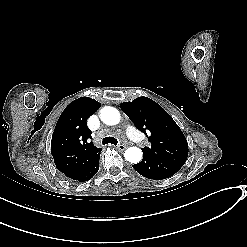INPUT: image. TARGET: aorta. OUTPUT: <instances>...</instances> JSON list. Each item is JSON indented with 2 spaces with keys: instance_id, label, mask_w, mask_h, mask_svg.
<instances>
[{
  "instance_id": "aorta-1",
  "label": "aorta",
  "mask_w": 247,
  "mask_h": 247,
  "mask_svg": "<svg viewBox=\"0 0 247 247\" xmlns=\"http://www.w3.org/2000/svg\"><path fill=\"white\" fill-rule=\"evenodd\" d=\"M100 118L106 125H117L120 122L119 111L111 106L103 107L100 110ZM125 159L133 164H137L142 160V151L137 147H129L124 153Z\"/></svg>"
}]
</instances>
